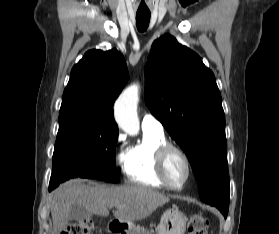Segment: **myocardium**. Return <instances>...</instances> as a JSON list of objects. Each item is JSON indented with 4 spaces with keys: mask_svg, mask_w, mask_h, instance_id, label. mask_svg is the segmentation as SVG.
<instances>
[{
    "mask_svg": "<svg viewBox=\"0 0 279 234\" xmlns=\"http://www.w3.org/2000/svg\"><path fill=\"white\" fill-rule=\"evenodd\" d=\"M172 152L178 153L182 157V159L184 160L185 165H186V170H187L186 177L180 185L172 184L169 181V179L167 177V173H166L167 158H168L169 154ZM156 170H157V174H158L161 182L167 188L172 189V190H181L186 186V184L189 182V180L192 176V163H191V160H190L188 154L181 147L166 142L163 145H161L157 150Z\"/></svg>",
    "mask_w": 279,
    "mask_h": 234,
    "instance_id": "1",
    "label": "myocardium"
}]
</instances>
